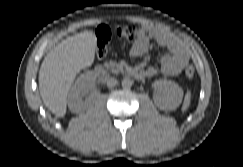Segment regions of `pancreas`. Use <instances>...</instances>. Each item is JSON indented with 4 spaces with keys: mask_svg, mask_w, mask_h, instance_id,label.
I'll list each match as a JSON object with an SVG mask.
<instances>
[{
    "mask_svg": "<svg viewBox=\"0 0 243 167\" xmlns=\"http://www.w3.org/2000/svg\"><path fill=\"white\" fill-rule=\"evenodd\" d=\"M104 66L112 73H120L123 71V68L115 61L105 62Z\"/></svg>",
    "mask_w": 243,
    "mask_h": 167,
    "instance_id": "cf45deb5",
    "label": "pancreas"
}]
</instances>
